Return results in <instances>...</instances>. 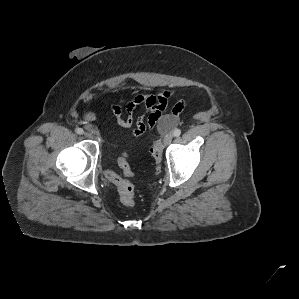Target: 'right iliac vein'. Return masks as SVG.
Masks as SVG:
<instances>
[{
    "label": "right iliac vein",
    "instance_id": "obj_1",
    "mask_svg": "<svg viewBox=\"0 0 299 299\" xmlns=\"http://www.w3.org/2000/svg\"><path fill=\"white\" fill-rule=\"evenodd\" d=\"M84 136L87 137V138H93V134L90 133V132H85Z\"/></svg>",
    "mask_w": 299,
    "mask_h": 299
}]
</instances>
